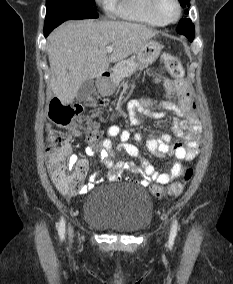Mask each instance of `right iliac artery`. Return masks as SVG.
Wrapping results in <instances>:
<instances>
[{"label": "right iliac artery", "mask_w": 233, "mask_h": 284, "mask_svg": "<svg viewBox=\"0 0 233 284\" xmlns=\"http://www.w3.org/2000/svg\"><path fill=\"white\" fill-rule=\"evenodd\" d=\"M59 236L60 239L63 240L65 237V221L64 218H61L60 222H59Z\"/></svg>", "instance_id": "right-iliac-artery-1"}]
</instances>
